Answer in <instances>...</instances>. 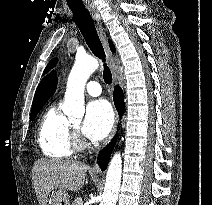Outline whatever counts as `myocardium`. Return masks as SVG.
Wrapping results in <instances>:
<instances>
[{"label":"myocardium","mask_w":212,"mask_h":205,"mask_svg":"<svg viewBox=\"0 0 212 205\" xmlns=\"http://www.w3.org/2000/svg\"><path fill=\"white\" fill-rule=\"evenodd\" d=\"M74 130L76 129V127H73ZM73 146L75 149H82L84 147V143L78 139L76 136H73Z\"/></svg>","instance_id":"f54148a6"}]
</instances>
